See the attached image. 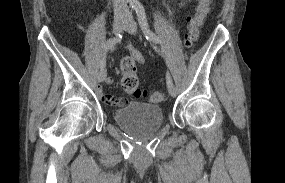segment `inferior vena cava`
Returning a JSON list of instances; mask_svg holds the SVG:
<instances>
[{
  "label": "inferior vena cava",
  "instance_id": "602c4592",
  "mask_svg": "<svg viewBox=\"0 0 285 183\" xmlns=\"http://www.w3.org/2000/svg\"><path fill=\"white\" fill-rule=\"evenodd\" d=\"M115 17L128 16L129 9L126 0H112Z\"/></svg>",
  "mask_w": 285,
  "mask_h": 183
}]
</instances>
